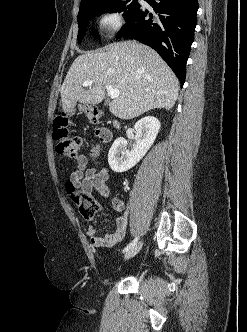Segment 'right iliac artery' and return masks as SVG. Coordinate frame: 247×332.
Returning <instances> with one entry per match:
<instances>
[{
	"label": "right iliac artery",
	"instance_id": "1",
	"mask_svg": "<svg viewBox=\"0 0 247 332\" xmlns=\"http://www.w3.org/2000/svg\"><path fill=\"white\" fill-rule=\"evenodd\" d=\"M138 237H136L135 239L132 240V242H130L124 249L123 252H127L129 249H131L132 247H134L136 245V243L138 242Z\"/></svg>",
	"mask_w": 247,
	"mask_h": 332
}]
</instances>
